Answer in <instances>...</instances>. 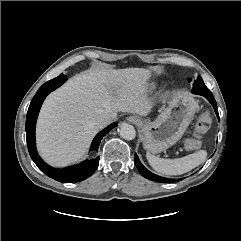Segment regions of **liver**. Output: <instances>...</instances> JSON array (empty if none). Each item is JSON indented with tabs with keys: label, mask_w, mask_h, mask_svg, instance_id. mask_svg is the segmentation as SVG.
<instances>
[{
	"label": "liver",
	"mask_w": 241,
	"mask_h": 241,
	"mask_svg": "<svg viewBox=\"0 0 241 241\" xmlns=\"http://www.w3.org/2000/svg\"><path fill=\"white\" fill-rule=\"evenodd\" d=\"M151 72L144 68L93 69L71 78L45 100L37 122V147L43 159L57 167L80 160L100 130L101 115L118 112L146 116Z\"/></svg>",
	"instance_id": "6515ba94"
}]
</instances>
